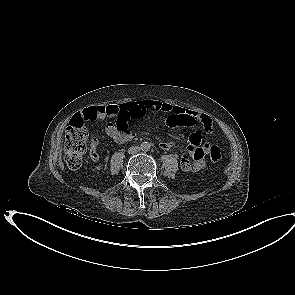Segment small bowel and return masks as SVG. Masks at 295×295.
Listing matches in <instances>:
<instances>
[{"label":"small bowel","instance_id":"small-bowel-1","mask_svg":"<svg viewBox=\"0 0 295 295\" xmlns=\"http://www.w3.org/2000/svg\"><path fill=\"white\" fill-rule=\"evenodd\" d=\"M132 112V119L138 120L146 116L147 112L166 115V125L170 128L178 126L195 127L200 124L202 131L194 129L188 139V155H184L181 159V168L185 171H200L206 167L205 156L208 154L211 144L206 142L201 144L203 133L208 137L214 134L211 118L204 113H199L193 110L182 107L172 106L168 103L153 99H146L138 102L124 105ZM108 106H93L83 109L77 118L89 122L104 120L106 109ZM107 135L117 143H124L130 140L133 136L128 126L120 129L116 124L109 123L106 126ZM99 140L96 136L91 138L89 155L92 161L98 162L100 154L98 152ZM175 146V142L165 140L160 143V147L164 150H169Z\"/></svg>","mask_w":295,"mask_h":295}]
</instances>
